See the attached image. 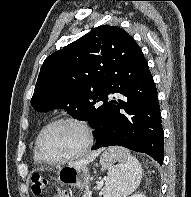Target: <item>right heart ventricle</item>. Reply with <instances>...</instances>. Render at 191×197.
<instances>
[{"mask_svg":"<svg viewBox=\"0 0 191 197\" xmlns=\"http://www.w3.org/2000/svg\"><path fill=\"white\" fill-rule=\"evenodd\" d=\"M33 159H34V162H35L36 164H42V162L39 160V158H38L37 155H36L35 147H34V151H33Z\"/></svg>","mask_w":191,"mask_h":197,"instance_id":"1","label":"right heart ventricle"}]
</instances>
